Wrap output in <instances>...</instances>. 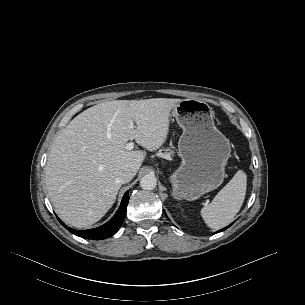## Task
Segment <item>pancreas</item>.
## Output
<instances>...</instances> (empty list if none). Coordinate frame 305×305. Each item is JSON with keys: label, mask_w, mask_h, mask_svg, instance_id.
<instances>
[{"label": "pancreas", "mask_w": 305, "mask_h": 305, "mask_svg": "<svg viewBox=\"0 0 305 305\" xmlns=\"http://www.w3.org/2000/svg\"><path fill=\"white\" fill-rule=\"evenodd\" d=\"M165 150V154L167 155V156H171L172 154H173V151L171 150V149H169V148H166V149H164Z\"/></svg>", "instance_id": "cf45deb5"}]
</instances>
